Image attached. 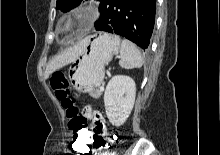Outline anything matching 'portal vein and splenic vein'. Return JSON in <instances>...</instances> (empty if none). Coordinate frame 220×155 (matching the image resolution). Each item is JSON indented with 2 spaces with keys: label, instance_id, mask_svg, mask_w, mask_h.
<instances>
[{
  "label": "portal vein and splenic vein",
  "instance_id": "obj_1",
  "mask_svg": "<svg viewBox=\"0 0 220 155\" xmlns=\"http://www.w3.org/2000/svg\"><path fill=\"white\" fill-rule=\"evenodd\" d=\"M104 90V86H100V91H103Z\"/></svg>",
  "mask_w": 220,
  "mask_h": 155
}]
</instances>
